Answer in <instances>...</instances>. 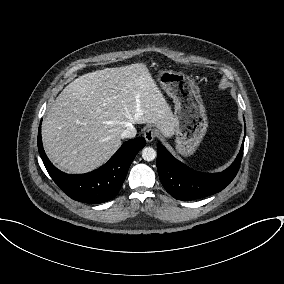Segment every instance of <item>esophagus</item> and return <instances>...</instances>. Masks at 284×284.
<instances>
[{
    "mask_svg": "<svg viewBox=\"0 0 284 284\" xmlns=\"http://www.w3.org/2000/svg\"><path fill=\"white\" fill-rule=\"evenodd\" d=\"M156 137V131L152 128H148L144 131V138L147 142H152Z\"/></svg>",
    "mask_w": 284,
    "mask_h": 284,
    "instance_id": "1",
    "label": "esophagus"
}]
</instances>
